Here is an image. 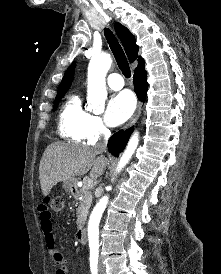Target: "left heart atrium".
<instances>
[{"instance_id": "39dd6f15", "label": "left heart atrium", "mask_w": 221, "mask_h": 274, "mask_svg": "<svg viewBox=\"0 0 221 274\" xmlns=\"http://www.w3.org/2000/svg\"><path fill=\"white\" fill-rule=\"evenodd\" d=\"M134 109L135 100L132 94L121 92L108 101L105 120L110 126H119L132 115Z\"/></svg>"}]
</instances>
